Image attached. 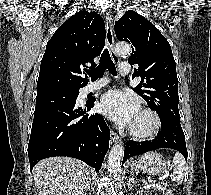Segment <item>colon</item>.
<instances>
[{
    "instance_id": "colon-1",
    "label": "colon",
    "mask_w": 211,
    "mask_h": 195,
    "mask_svg": "<svg viewBox=\"0 0 211 195\" xmlns=\"http://www.w3.org/2000/svg\"><path fill=\"white\" fill-rule=\"evenodd\" d=\"M165 195H173V194H172L171 190H167V191L165 192Z\"/></svg>"
}]
</instances>
